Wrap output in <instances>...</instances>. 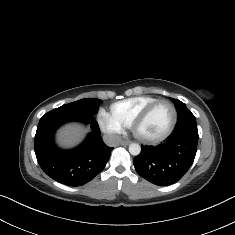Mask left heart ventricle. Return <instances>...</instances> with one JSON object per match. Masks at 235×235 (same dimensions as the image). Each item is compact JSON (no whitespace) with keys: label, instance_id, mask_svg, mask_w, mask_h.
<instances>
[{"label":"left heart ventricle","instance_id":"b2bd125f","mask_svg":"<svg viewBox=\"0 0 235 235\" xmlns=\"http://www.w3.org/2000/svg\"><path fill=\"white\" fill-rule=\"evenodd\" d=\"M173 118V109L168 103H161L152 112L148 120L138 128L143 138L163 135L169 128Z\"/></svg>","mask_w":235,"mask_h":235}]
</instances>
